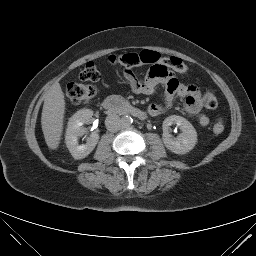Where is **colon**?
Listing matches in <instances>:
<instances>
[{
    "instance_id": "obj_1",
    "label": "colon",
    "mask_w": 256,
    "mask_h": 256,
    "mask_svg": "<svg viewBox=\"0 0 256 256\" xmlns=\"http://www.w3.org/2000/svg\"><path fill=\"white\" fill-rule=\"evenodd\" d=\"M112 65L132 67L142 64H157L165 62L172 70L179 73H186L187 65L177 57L161 58L159 53L151 50H145L140 53H125L121 55H112L109 57ZM100 78V72L93 62H88L80 72L82 81L95 82ZM67 98L74 104L87 103L93 99L96 89L93 85L85 83L72 82L65 87ZM201 103L208 109H214L218 105L216 96L212 92L203 94ZM225 129V122L222 117H218L214 123L213 130L215 133H222Z\"/></svg>"
}]
</instances>
